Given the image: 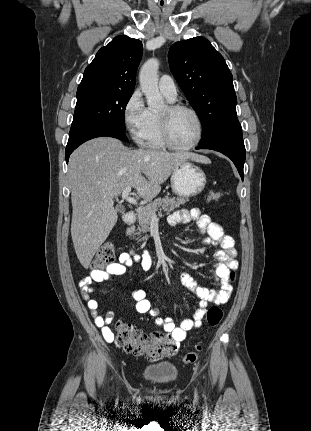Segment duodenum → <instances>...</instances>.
Masks as SVG:
<instances>
[{
  "label": "duodenum",
  "instance_id": "obj_1",
  "mask_svg": "<svg viewBox=\"0 0 311 431\" xmlns=\"http://www.w3.org/2000/svg\"><path fill=\"white\" fill-rule=\"evenodd\" d=\"M135 217H136L135 212L133 210H129V211L125 212L123 215V218H122L123 223L125 225H130L134 222Z\"/></svg>",
  "mask_w": 311,
  "mask_h": 431
}]
</instances>
